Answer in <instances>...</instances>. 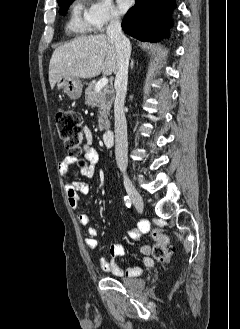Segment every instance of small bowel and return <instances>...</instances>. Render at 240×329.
<instances>
[{
	"label": "small bowel",
	"instance_id": "obj_1",
	"mask_svg": "<svg viewBox=\"0 0 240 329\" xmlns=\"http://www.w3.org/2000/svg\"><path fill=\"white\" fill-rule=\"evenodd\" d=\"M85 143L83 146V160L79 165V172L86 178L94 177L96 168L99 163V155L97 151L92 148V133L90 129L84 130ZM77 159L73 156H67L59 162V173L67 180L65 185V194L69 203V206L73 209H77L81 205L80 194H87L90 191V187L87 183L78 180H69L68 172L69 168L76 163ZM77 221L82 226H87L90 222V217L87 213H80L77 215ZM148 228L146 222H141L139 225L132 227L129 230V236L132 242H136L140 239L143 232ZM88 238L85 241L86 247L89 250H94L98 246L97 234L98 231L94 227L87 229ZM126 252V246L124 244H115L109 248L108 257L102 255L99 256V262L101 268L108 273H112L115 276H128L136 277L142 273L143 268L149 269L153 267V260L150 257L151 248L147 244H143L140 247L142 255L141 265L130 266L126 270L120 267L115 259L123 256Z\"/></svg>",
	"mask_w": 240,
	"mask_h": 329
}]
</instances>
